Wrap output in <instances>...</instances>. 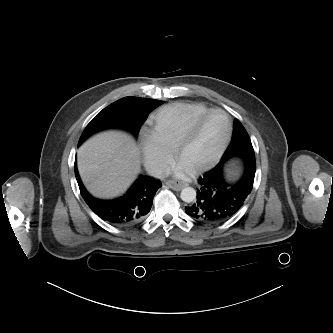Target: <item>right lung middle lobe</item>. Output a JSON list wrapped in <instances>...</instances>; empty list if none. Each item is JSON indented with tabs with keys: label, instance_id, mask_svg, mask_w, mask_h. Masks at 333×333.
<instances>
[{
	"label": "right lung middle lobe",
	"instance_id": "obj_1",
	"mask_svg": "<svg viewBox=\"0 0 333 333\" xmlns=\"http://www.w3.org/2000/svg\"><path fill=\"white\" fill-rule=\"evenodd\" d=\"M163 101L139 97L122 98L99 112L82 133L79 145L93 133L105 128H123L138 136L143 122L150 112Z\"/></svg>",
	"mask_w": 333,
	"mask_h": 333
}]
</instances>
